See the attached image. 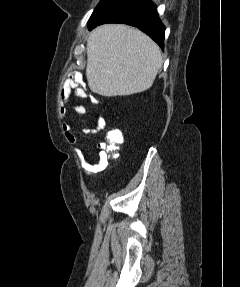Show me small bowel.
Listing matches in <instances>:
<instances>
[{
    "instance_id": "small-bowel-1",
    "label": "small bowel",
    "mask_w": 240,
    "mask_h": 287,
    "mask_svg": "<svg viewBox=\"0 0 240 287\" xmlns=\"http://www.w3.org/2000/svg\"><path fill=\"white\" fill-rule=\"evenodd\" d=\"M75 96L77 98H86L87 93L84 88L80 86L79 78L76 76H71L68 78L60 92L59 99V112L60 116L64 117L66 114V106L71 104V98ZM76 113L85 114L87 109L82 104H76L72 106ZM106 126V120L103 117H99L94 126L87 127L83 129L85 134H95L103 130ZM66 138L70 143H75L77 141L76 137L69 131V125L65 124L64 126ZM98 155L100 159V165H105L108 160L106 152V143L101 142L97 145Z\"/></svg>"
}]
</instances>
